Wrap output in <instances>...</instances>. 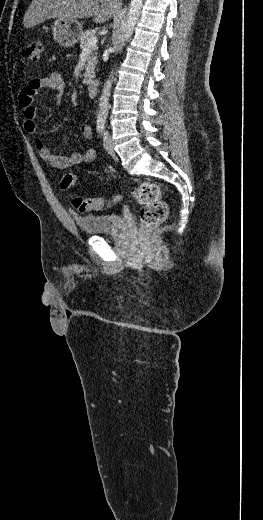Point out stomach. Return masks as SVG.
I'll return each instance as SVG.
<instances>
[{"mask_svg": "<svg viewBox=\"0 0 263 520\" xmlns=\"http://www.w3.org/2000/svg\"><path fill=\"white\" fill-rule=\"evenodd\" d=\"M52 30L54 39L63 47L75 45L83 32L79 21L66 19H57Z\"/></svg>", "mask_w": 263, "mask_h": 520, "instance_id": "stomach-1", "label": "stomach"}]
</instances>
